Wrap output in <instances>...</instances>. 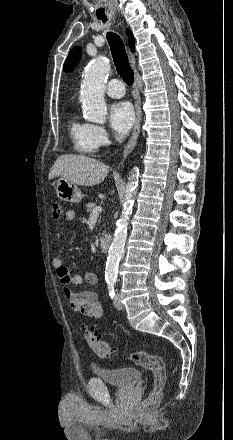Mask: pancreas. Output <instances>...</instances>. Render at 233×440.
I'll return each mask as SVG.
<instances>
[{"mask_svg":"<svg viewBox=\"0 0 233 440\" xmlns=\"http://www.w3.org/2000/svg\"><path fill=\"white\" fill-rule=\"evenodd\" d=\"M97 207V204L95 202H90L86 205L87 212L92 213L93 210Z\"/></svg>","mask_w":233,"mask_h":440,"instance_id":"obj_1","label":"pancreas"}]
</instances>
